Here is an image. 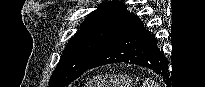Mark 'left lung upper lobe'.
Wrapping results in <instances>:
<instances>
[{
	"mask_svg": "<svg viewBox=\"0 0 205 87\" xmlns=\"http://www.w3.org/2000/svg\"><path fill=\"white\" fill-rule=\"evenodd\" d=\"M128 13L127 6L119 1L101 4L90 13L68 42L49 86L64 87L88 70Z\"/></svg>",
	"mask_w": 205,
	"mask_h": 87,
	"instance_id": "1",
	"label": "left lung upper lobe"
}]
</instances>
